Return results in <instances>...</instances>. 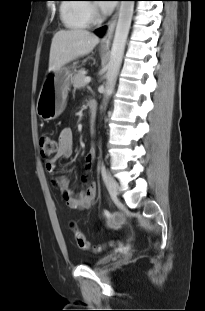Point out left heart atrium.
Here are the masks:
<instances>
[{
    "mask_svg": "<svg viewBox=\"0 0 205 311\" xmlns=\"http://www.w3.org/2000/svg\"><path fill=\"white\" fill-rule=\"evenodd\" d=\"M101 8L105 13H109L112 11L113 4L111 2H105L101 4Z\"/></svg>",
    "mask_w": 205,
    "mask_h": 311,
    "instance_id": "left-heart-atrium-1",
    "label": "left heart atrium"
}]
</instances>
